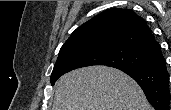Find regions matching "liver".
<instances>
[{"instance_id": "obj_1", "label": "liver", "mask_w": 171, "mask_h": 110, "mask_svg": "<svg viewBox=\"0 0 171 110\" xmlns=\"http://www.w3.org/2000/svg\"><path fill=\"white\" fill-rule=\"evenodd\" d=\"M52 110H153L140 86L107 66L64 74L56 83Z\"/></svg>"}]
</instances>
